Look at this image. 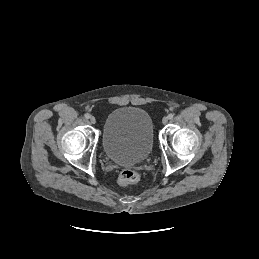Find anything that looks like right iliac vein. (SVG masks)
<instances>
[{"label": "right iliac vein", "mask_w": 259, "mask_h": 259, "mask_svg": "<svg viewBox=\"0 0 259 259\" xmlns=\"http://www.w3.org/2000/svg\"><path fill=\"white\" fill-rule=\"evenodd\" d=\"M89 119H90L91 124H95L96 123V119H95L94 116H90Z\"/></svg>", "instance_id": "63e3f726"}]
</instances>
